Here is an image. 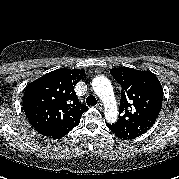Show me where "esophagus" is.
Listing matches in <instances>:
<instances>
[{"instance_id":"34e87169","label":"esophagus","mask_w":179,"mask_h":179,"mask_svg":"<svg viewBox=\"0 0 179 179\" xmlns=\"http://www.w3.org/2000/svg\"><path fill=\"white\" fill-rule=\"evenodd\" d=\"M96 108L99 109L100 111H102L103 110V104L102 103H98L96 105Z\"/></svg>"}]
</instances>
